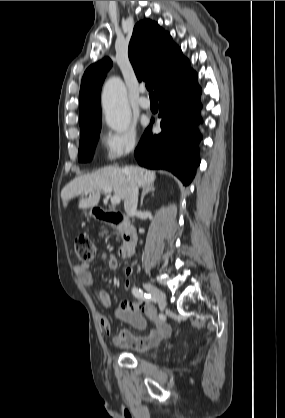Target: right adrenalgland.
Wrapping results in <instances>:
<instances>
[{"instance_id":"2a0ac1e0","label":"right adrenal gland","mask_w":285,"mask_h":418,"mask_svg":"<svg viewBox=\"0 0 285 418\" xmlns=\"http://www.w3.org/2000/svg\"><path fill=\"white\" fill-rule=\"evenodd\" d=\"M155 191V187L153 184H148L142 187V195H141V201H140V205H143V200L144 197L150 193V192H154Z\"/></svg>"}]
</instances>
